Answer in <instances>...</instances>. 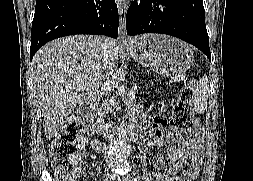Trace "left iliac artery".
<instances>
[{"mask_svg": "<svg viewBox=\"0 0 253 181\" xmlns=\"http://www.w3.org/2000/svg\"><path fill=\"white\" fill-rule=\"evenodd\" d=\"M134 181H139V179L137 177L134 178Z\"/></svg>", "mask_w": 253, "mask_h": 181, "instance_id": "obj_1", "label": "left iliac artery"}]
</instances>
